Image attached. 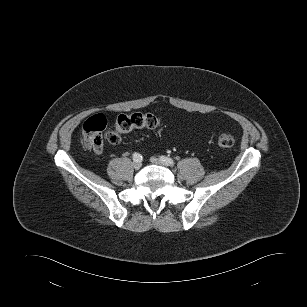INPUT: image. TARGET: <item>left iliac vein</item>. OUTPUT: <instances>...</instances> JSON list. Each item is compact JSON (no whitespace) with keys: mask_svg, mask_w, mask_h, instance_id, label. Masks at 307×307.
<instances>
[{"mask_svg":"<svg viewBox=\"0 0 307 307\" xmlns=\"http://www.w3.org/2000/svg\"><path fill=\"white\" fill-rule=\"evenodd\" d=\"M150 161L153 163V164H163L165 165L164 163H162L158 158L156 157H151L150 158Z\"/></svg>","mask_w":307,"mask_h":307,"instance_id":"left-iliac-vein-1","label":"left iliac vein"}]
</instances>
